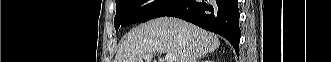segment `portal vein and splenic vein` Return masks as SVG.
I'll use <instances>...</instances> for the list:
<instances>
[{
    "mask_svg": "<svg viewBox=\"0 0 331 62\" xmlns=\"http://www.w3.org/2000/svg\"><path fill=\"white\" fill-rule=\"evenodd\" d=\"M150 58H151V55L148 54V55L146 56V59H150ZM165 62H175V56L172 55V54H167V55L165 56Z\"/></svg>",
    "mask_w": 331,
    "mask_h": 62,
    "instance_id": "1",
    "label": "portal vein and splenic vein"
}]
</instances>
